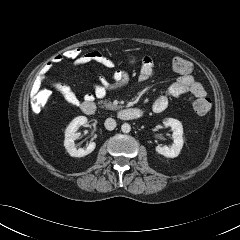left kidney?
Masks as SVG:
<instances>
[{"label": "left kidney", "mask_w": 240, "mask_h": 240, "mask_svg": "<svg viewBox=\"0 0 240 240\" xmlns=\"http://www.w3.org/2000/svg\"><path fill=\"white\" fill-rule=\"evenodd\" d=\"M165 127H171L173 130L172 138L173 145L171 147L167 146H156L155 150L158 154H161L168 158H175L180 154V151L183 147V126L181 122L173 118H165L163 120Z\"/></svg>", "instance_id": "obj_1"}]
</instances>
